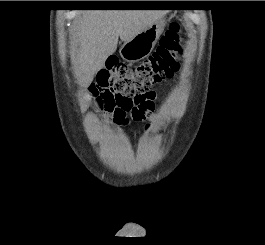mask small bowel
<instances>
[{
  "label": "small bowel",
  "mask_w": 265,
  "mask_h": 245,
  "mask_svg": "<svg viewBox=\"0 0 265 245\" xmlns=\"http://www.w3.org/2000/svg\"><path fill=\"white\" fill-rule=\"evenodd\" d=\"M86 96L89 99H94V100L97 99V97L99 96L98 86L96 84H91L89 86L87 93H86ZM145 112H147L148 118L150 121H158L162 118V116L159 113L155 112V107L153 104L151 106H147L145 108ZM121 125L122 126L127 125V121L121 122Z\"/></svg>",
  "instance_id": "1"
}]
</instances>
